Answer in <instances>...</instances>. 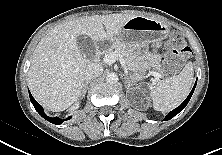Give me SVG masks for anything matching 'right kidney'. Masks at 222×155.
<instances>
[{
	"label": "right kidney",
	"mask_w": 222,
	"mask_h": 155,
	"mask_svg": "<svg viewBox=\"0 0 222 155\" xmlns=\"http://www.w3.org/2000/svg\"><path fill=\"white\" fill-rule=\"evenodd\" d=\"M77 107L79 106V104L77 103V104H75Z\"/></svg>",
	"instance_id": "1"
}]
</instances>
